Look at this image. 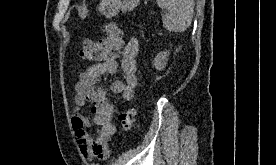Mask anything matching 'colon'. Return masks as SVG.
Instances as JSON below:
<instances>
[{
    "label": "colon",
    "mask_w": 276,
    "mask_h": 165,
    "mask_svg": "<svg viewBox=\"0 0 276 165\" xmlns=\"http://www.w3.org/2000/svg\"><path fill=\"white\" fill-rule=\"evenodd\" d=\"M138 4L139 0H101L97 10L107 20L104 24L105 36L97 41L85 40L80 51L81 56L97 62L114 60L123 46V32L114 18L134 10ZM135 116L134 109H127L119 114L118 121L123 131L128 132L133 128Z\"/></svg>",
    "instance_id": "obj_1"
}]
</instances>
